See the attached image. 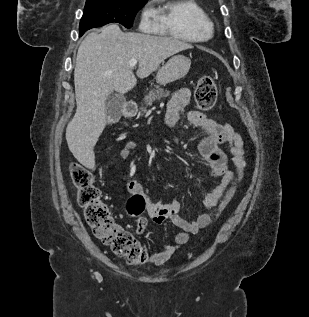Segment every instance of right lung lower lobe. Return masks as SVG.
<instances>
[{"mask_svg":"<svg viewBox=\"0 0 309 317\" xmlns=\"http://www.w3.org/2000/svg\"><path fill=\"white\" fill-rule=\"evenodd\" d=\"M83 34H84L83 32H80V36L83 35Z\"/></svg>","mask_w":309,"mask_h":317,"instance_id":"obj_1","label":"right lung lower lobe"}]
</instances>
